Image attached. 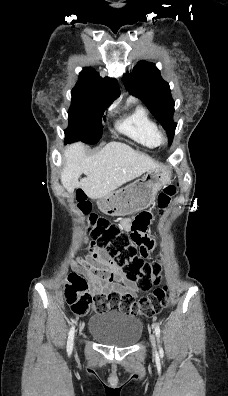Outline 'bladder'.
<instances>
[{"label":"bladder","mask_w":228,"mask_h":396,"mask_svg":"<svg viewBox=\"0 0 228 396\" xmlns=\"http://www.w3.org/2000/svg\"><path fill=\"white\" fill-rule=\"evenodd\" d=\"M88 332L98 342L107 346L130 347L143 335V322L135 315L109 311L92 316Z\"/></svg>","instance_id":"bladder-1"}]
</instances>
